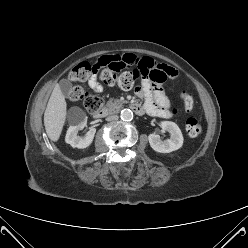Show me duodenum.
<instances>
[{
  "label": "duodenum",
  "mask_w": 248,
  "mask_h": 248,
  "mask_svg": "<svg viewBox=\"0 0 248 248\" xmlns=\"http://www.w3.org/2000/svg\"><path fill=\"white\" fill-rule=\"evenodd\" d=\"M130 107L137 114H142L143 113L142 107L140 105H138V104L132 103V104H130ZM106 115H107V110L106 109H100L98 112H96L94 114V117L96 119H101V118L105 117Z\"/></svg>",
  "instance_id": "duodenum-1"
}]
</instances>
